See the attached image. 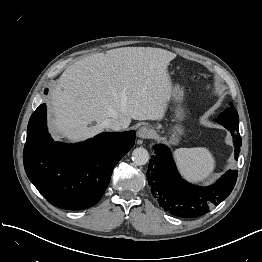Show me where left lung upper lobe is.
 <instances>
[{"label": "left lung upper lobe", "instance_id": "obj_1", "mask_svg": "<svg viewBox=\"0 0 262 262\" xmlns=\"http://www.w3.org/2000/svg\"><path fill=\"white\" fill-rule=\"evenodd\" d=\"M217 122L227 128H239V116L232 103L230 108L218 116Z\"/></svg>", "mask_w": 262, "mask_h": 262}]
</instances>
